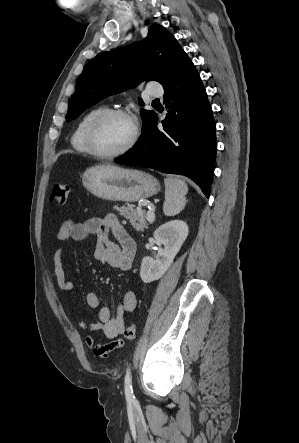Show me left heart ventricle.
Wrapping results in <instances>:
<instances>
[{
    "label": "left heart ventricle",
    "mask_w": 299,
    "mask_h": 443,
    "mask_svg": "<svg viewBox=\"0 0 299 443\" xmlns=\"http://www.w3.org/2000/svg\"><path fill=\"white\" fill-rule=\"evenodd\" d=\"M133 132L132 122L120 116L106 119L99 127L95 144L99 151L112 153L123 148L130 140Z\"/></svg>",
    "instance_id": "b2bd125f"
}]
</instances>
